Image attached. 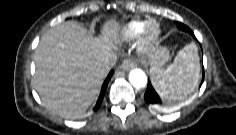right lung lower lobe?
<instances>
[{
  "mask_svg": "<svg viewBox=\"0 0 236 135\" xmlns=\"http://www.w3.org/2000/svg\"><path fill=\"white\" fill-rule=\"evenodd\" d=\"M113 73H114L113 70L110 71L109 75L107 76L105 82H104L103 85H102L101 94H100V96H99V98H98V101H97V103H96V106L94 107V110H95V111H96V110L100 107V105H101V102H102V100H103V97H104L106 88H107V86H108V82H109L111 76L113 75Z\"/></svg>",
  "mask_w": 236,
  "mask_h": 135,
  "instance_id": "obj_1",
  "label": "right lung lower lobe"
}]
</instances>
